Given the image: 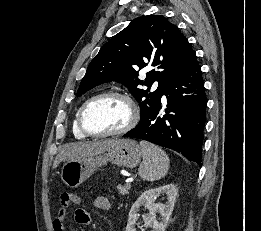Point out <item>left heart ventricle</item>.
<instances>
[{
	"mask_svg": "<svg viewBox=\"0 0 261 231\" xmlns=\"http://www.w3.org/2000/svg\"><path fill=\"white\" fill-rule=\"evenodd\" d=\"M130 116V107L125 100L110 97L100 100L87 110L85 124L93 132H111L125 127Z\"/></svg>",
	"mask_w": 261,
	"mask_h": 231,
	"instance_id": "obj_1",
	"label": "left heart ventricle"
}]
</instances>
